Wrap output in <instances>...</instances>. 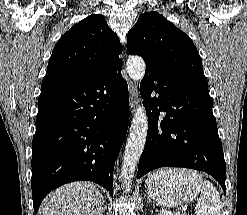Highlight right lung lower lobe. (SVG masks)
<instances>
[{
    "label": "right lung lower lobe",
    "mask_w": 247,
    "mask_h": 215,
    "mask_svg": "<svg viewBox=\"0 0 247 215\" xmlns=\"http://www.w3.org/2000/svg\"><path fill=\"white\" fill-rule=\"evenodd\" d=\"M122 63L96 77L72 82L45 76L32 141L35 213L59 186L89 180L113 196V169L129 122Z\"/></svg>",
    "instance_id": "obj_1"
}]
</instances>
